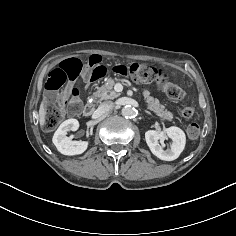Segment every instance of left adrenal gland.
Segmentation results:
<instances>
[{"instance_id": "left-adrenal-gland-1", "label": "left adrenal gland", "mask_w": 236, "mask_h": 236, "mask_svg": "<svg viewBox=\"0 0 236 236\" xmlns=\"http://www.w3.org/2000/svg\"><path fill=\"white\" fill-rule=\"evenodd\" d=\"M145 113L149 114V115H152L149 111L147 110H144Z\"/></svg>"}]
</instances>
